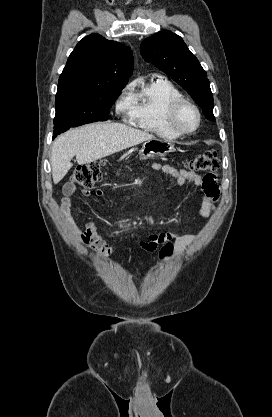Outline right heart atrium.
I'll return each instance as SVG.
<instances>
[{
	"label": "right heart atrium",
	"mask_w": 272,
	"mask_h": 417,
	"mask_svg": "<svg viewBox=\"0 0 272 417\" xmlns=\"http://www.w3.org/2000/svg\"><path fill=\"white\" fill-rule=\"evenodd\" d=\"M132 108V102L125 93L121 94L115 102V111L119 115H129Z\"/></svg>",
	"instance_id": "right-heart-atrium-1"
}]
</instances>
